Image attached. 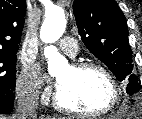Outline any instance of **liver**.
Here are the masks:
<instances>
[{
  "mask_svg": "<svg viewBox=\"0 0 142 119\" xmlns=\"http://www.w3.org/2000/svg\"><path fill=\"white\" fill-rule=\"evenodd\" d=\"M0 119H13V118H7L5 116L0 115ZM39 119H55V117H50V116H41Z\"/></svg>",
  "mask_w": 142,
  "mask_h": 119,
  "instance_id": "1",
  "label": "liver"
}]
</instances>
